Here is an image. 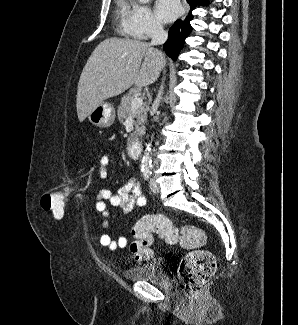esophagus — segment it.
<instances>
[{"instance_id":"obj_1","label":"esophagus","mask_w":298,"mask_h":325,"mask_svg":"<svg viewBox=\"0 0 298 325\" xmlns=\"http://www.w3.org/2000/svg\"><path fill=\"white\" fill-rule=\"evenodd\" d=\"M188 10H189L188 8L185 9V14H184V16H182V20H185L186 15H187V13H188Z\"/></svg>"}]
</instances>
